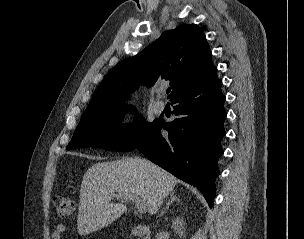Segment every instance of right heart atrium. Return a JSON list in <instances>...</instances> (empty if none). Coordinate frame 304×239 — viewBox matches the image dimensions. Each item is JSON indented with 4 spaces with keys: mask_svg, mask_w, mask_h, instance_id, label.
<instances>
[{
    "mask_svg": "<svg viewBox=\"0 0 304 239\" xmlns=\"http://www.w3.org/2000/svg\"><path fill=\"white\" fill-rule=\"evenodd\" d=\"M132 122H133V119H129L127 122H126V127H130L132 125Z\"/></svg>",
    "mask_w": 304,
    "mask_h": 239,
    "instance_id": "1",
    "label": "right heart atrium"
}]
</instances>
